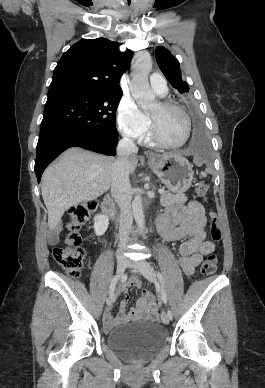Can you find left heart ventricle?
Masks as SVG:
<instances>
[{"label":"left heart ventricle","instance_id":"left-heart-ventricle-1","mask_svg":"<svg viewBox=\"0 0 265 388\" xmlns=\"http://www.w3.org/2000/svg\"><path fill=\"white\" fill-rule=\"evenodd\" d=\"M150 91H156L150 83ZM157 93V92H156ZM156 120L157 128L164 140L177 143L183 137V117L174 110H166L158 104L150 114Z\"/></svg>","mask_w":265,"mask_h":388}]
</instances>
